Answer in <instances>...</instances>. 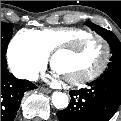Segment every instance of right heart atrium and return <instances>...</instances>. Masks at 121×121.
Segmentation results:
<instances>
[{"mask_svg": "<svg viewBox=\"0 0 121 121\" xmlns=\"http://www.w3.org/2000/svg\"><path fill=\"white\" fill-rule=\"evenodd\" d=\"M11 68L23 78H33L46 62L43 55L33 44L21 42L17 36L11 41L8 50Z\"/></svg>", "mask_w": 121, "mask_h": 121, "instance_id": "right-heart-atrium-1", "label": "right heart atrium"}]
</instances>
